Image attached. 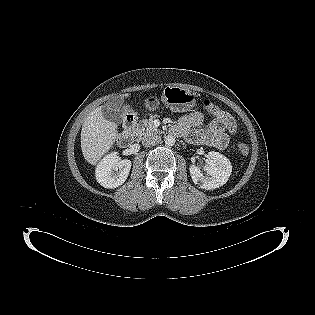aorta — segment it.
<instances>
[{"mask_svg":"<svg viewBox=\"0 0 315 315\" xmlns=\"http://www.w3.org/2000/svg\"><path fill=\"white\" fill-rule=\"evenodd\" d=\"M165 144L168 146H173L175 144V137L171 135H167L165 137Z\"/></svg>","mask_w":315,"mask_h":315,"instance_id":"aorta-1","label":"aorta"}]
</instances>
